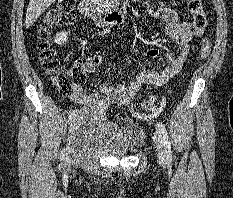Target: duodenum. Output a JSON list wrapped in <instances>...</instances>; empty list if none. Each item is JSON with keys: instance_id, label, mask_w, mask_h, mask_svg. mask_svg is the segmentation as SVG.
<instances>
[{"instance_id": "410a0bca", "label": "duodenum", "mask_w": 233, "mask_h": 198, "mask_svg": "<svg viewBox=\"0 0 233 198\" xmlns=\"http://www.w3.org/2000/svg\"><path fill=\"white\" fill-rule=\"evenodd\" d=\"M79 11L101 26L122 24L125 21V15L120 10L103 9L94 0H81Z\"/></svg>"}]
</instances>
